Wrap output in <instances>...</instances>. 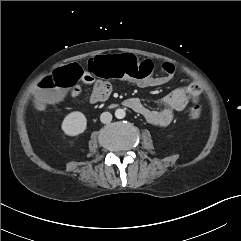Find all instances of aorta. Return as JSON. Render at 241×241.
<instances>
[{
    "instance_id": "obj_1",
    "label": "aorta",
    "mask_w": 241,
    "mask_h": 241,
    "mask_svg": "<svg viewBox=\"0 0 241 241\" xmlns=\"http://www.w3.org/2000/svg\"><path fill=\"white\" fill-rule=\"evenodd\" d=\"M126 116V112L124 109H116L115 111V117L117 119H123Z\"/></svg>"
}]
</instances>
